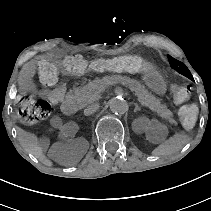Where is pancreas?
<instances>
[{
    "label": "pancreas",
    "mask_w": 211,
    "mask_h": 211,
    "mask_svg": "<svg viewBox=\"0 0 211 211\" xmlns=\"http://www.w3.org/2000/svg\"><path fill=\"white\" fill-rule=\"evenodd\" d=\"M118 78L115 76L106 75L96 81L94 84L90 83L82 88L74 90V93L69 100L70 105L77 108L81 104L94 102L97 100L98 95L101 92L105 91L107 88L119 86L121 82L123 85L128 86L131 91L135 92L138 100L143 105L149 107L152 111L157 112L160 117L168 120L170 123L177 124V122L173 119V113L167 108L166 105L161 104L158 99L148 92L144 85L127 76H118Z\"/></svg>",
    "instance_id": "cf45deb5"
}]
</instances>
